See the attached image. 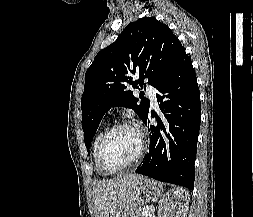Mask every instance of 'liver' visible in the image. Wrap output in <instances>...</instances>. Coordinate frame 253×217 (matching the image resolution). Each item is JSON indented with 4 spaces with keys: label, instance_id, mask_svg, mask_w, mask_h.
<instances>
[{
    "label": "liver",
    "instance_id": "6515ba94",
    "mask_svg": "<svg viewBox=\"0 0 253 217\" xmlns=\"http://www.w3.org/2000/svg\"><path fill=\"white\" fill-rule=\"evenodd\" d=\"M142 179L141 175L127 174L95 183L92 192L95 217H120L131 202L133 189Z\"/></svg>",
    "mask_w": 253,
    "mask_h": 217
}]
</instances>
